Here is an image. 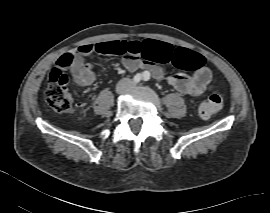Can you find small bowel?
I'll return each instance as SVG.
<instances>
[{"label": "small bowel", "mask_w": 270, "mask_h": 213, "mask_svg": "<svg viewBox=\"0 0 270 213\" xmlns=\"http://www.w3.org/2000/svg\"><path fill=\"white\" fill-rule=\"evenodd\" d=\"M104 43H87L78 46L74 52L73 61L69 67L73 82L81 87L88 88L95 82V74L91 64L86 59L96 54H102L101 47ZM142 46L149 48V56L146 60H139L132 56L122 59L123 65L129 71H135L140 67L151 70L153 78L160 80L163 70L160 63H169L180 55L186 57L189 50L185 48H174L172 45L156 40L145 41ZM168 83L179 92L191 96L202 95L212 85V74L208 68L198 69L193 75L186 76L182 73H174L168 76Z\"/></svg>", "instance_id": "c3829d8e"}]
</instances>
